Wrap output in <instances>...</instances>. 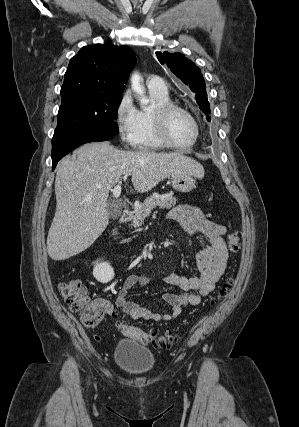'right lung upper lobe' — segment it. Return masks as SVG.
I'll list each match as a JSON object with an SVG mask.
<instances>
[{
    "label": "right lung upper lobe",
    "instance_id": "1",
    "mask_svg": "<svg viewBox=\"0 0 299 427\" xmlns=\"http://www.w3.org/2000/svg\"><path fill=\"white\" fill-rule=\"evenodd\" d=\"M136 62L127 46L96 44L71 58L61 87L62 99L84 93L121 95Z\"/></svg>",
    "mask_w": 299,
    "mask_h": 427
}]
</instances>
